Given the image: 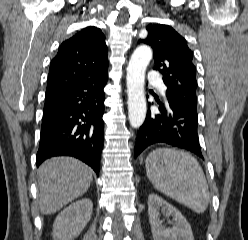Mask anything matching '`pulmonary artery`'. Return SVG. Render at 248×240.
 Masks as SVG:
<instances>
[{
    "label": "pulmonary artery",
    "mask_w": 248,
    "mask_h": 240,
    "mask_svg": "<svg viewBox=\"0 0 248 240\" xmlns=\"http://www.w3.org/2000/svg\"><path fill=\"white\" fill-rule=\"evenodd\" d=\"M159 79H160V76L156 72H151L148 76V80L150 83H155V82L159 81ZM165 89H166L165 87H161L162 91H165Z\"/></svg>",
    "instance_id": "1"
}]
</instances>
